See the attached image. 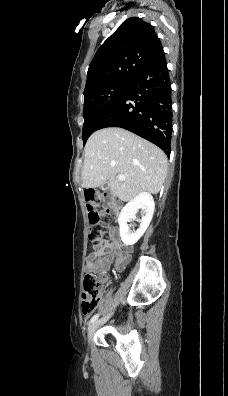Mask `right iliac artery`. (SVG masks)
<instances>
[{"mask_svg":"<svg viewBox=\"0 0 228 396\" xmlns=\"http://www.w3.org/2000/svg\"><path fill=\"white\" fill-rule=\"evenodd\" d=\"M98 317H99V314H95V315L91 318V320L89 321V324L94 323V322L98 319Z\"/></svg>","mask_w":228,"mask_h":396,"instance_id":"obj_1","label":"right iliac artery"}]
</instances>
